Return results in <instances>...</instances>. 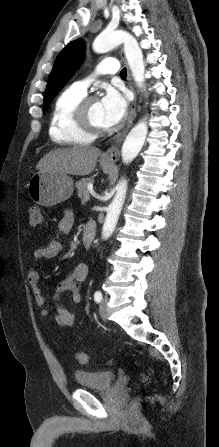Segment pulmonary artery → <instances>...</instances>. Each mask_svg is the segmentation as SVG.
<instances>
[{"mask_svg":"<svg viewBox=\"0 0 219 447\" xmlns=\"http://www.w3.org/2000/svg\"><path fill=\"white\" fill-rule=\"evenodd\" d=\"M119 70L118 62L115 59H105L98 65V72L100 74L115 75ZM90 79H84L75 82L72 87L85 94L87 87L89 86Z\"/></svg>","mask_w":219,"mask_h":447,"instance_id":"1","label":"pulmonary artery"}]
</instances>
